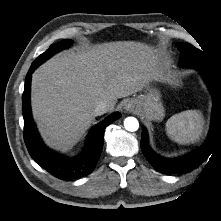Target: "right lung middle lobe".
I'll list each match as a JSON object with an SVG mask.
<instances>
[{"label":"right lung middle lobe","mask_w":221,"mask_h":221,"mask_svg":"<svg viewBox=\"0 0 221 221\" xmlns=\"http://www.w3.org/2000/svg\"><path fill=\"white\" fill-rule=\"evenodd\" d=\"M70 41L71 40L65 39L59 43L52 44L49 47V49L46 50L43 54H41L39 57H37L33 63L39 64V65L42 64L44 61H46L48 58H50L56 52L64 49Z\"/></svg>","instance_id":"obj_1"}]
</instances>
